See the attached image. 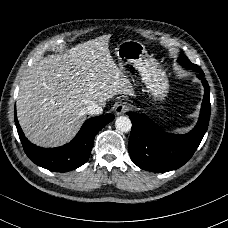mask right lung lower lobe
Segmentation results:
<instances>
[{"label": "right lung lower lobe", "instance_id": "1", "mask_svg": "<svg viewBox=\"0 0 228 228\" xmlns=\"http://www.w3.org/2000/svg\"><path fill=\"white\" fill-rule=\"evenodd\" d=\"M114 117L113 114H107L90 118L70 143L57 148H41L24 136L14 110L15 124L27 156L38 166L56 172H68L83 165L90 156L95 135Z\"/></svg>", "mask_w": 228, "mask_h": 228}]
</instances>
